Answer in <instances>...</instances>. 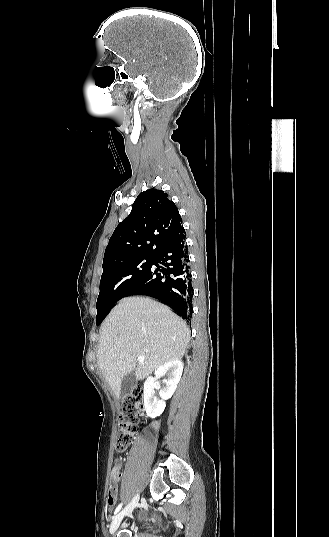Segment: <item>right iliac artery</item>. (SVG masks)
<instances>
[{
  "label": "right iliac artery",
  "instance_id": "1",
  "mask_svg": "<svg viewBox=\"0 0 329 537\" xmlns=\"http://www.w3.org/2000/svg\"><path fill=\"white\" fill-rule=\"evenodd\" d=\"M122 505H123V503H120V504L116 507V509H115V511H114V515H116V514L120 511V509L122 508Z\"/></svg>",
  "mask_w": 329,
  "mask_h": 537
}]
</instances>
